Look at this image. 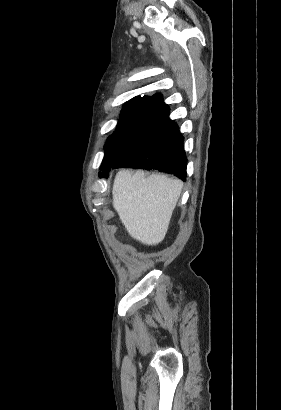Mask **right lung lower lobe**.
<instances>
[{
    "mask_svg": "<svg viewBox=\"0 0 281 410\" xmlns=\"http://www.w3.org/2000/svg\"><path fill=\"white\" fill-rule=\"evenodd\" d=\"M183 141L178 125L167 116L139 140L112 169H154L185 180L187 158ZM109 171L102 172L99 177L107 178Z\"/></svg>",
    "mask_w": 281,
    "mask_h": 410,
    "instance_id": "98d812e1",
    "label": "right lung lower lobe"
}]
</instances>
